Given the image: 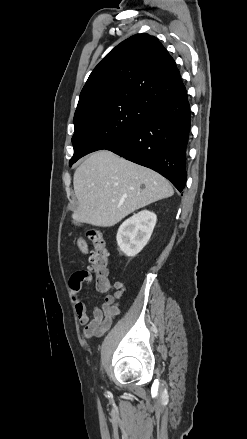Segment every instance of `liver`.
Returning <instances> with one entry per match:
<instances>
[{
	"label": "liver",
	"instance_id": "liver-1",
	"mask_svg": "<svg viewBox=\"0 0 247 439\" xmlns=\"http://www.w3.org/2000/svg\"><path fill=\"white\" fill-rule=\"evenodd\" d=\"M76 221L111 227L130 213L174 194L159 173L107 150L90 155L73 179Z\"/></svg>",
	"mask_w": 247,
	"mask_h": 439
}]
</instances>
